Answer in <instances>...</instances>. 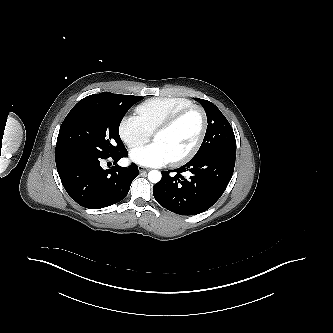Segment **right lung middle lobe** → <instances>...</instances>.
I'll list each match as a JSON object with an SVG mask.
<instances>
[{
	"instance_id": "1",
	"label": "right lung middle lobe",
	"mask_w": 333,
	"mask_h": 333,
	"mask_svg": "<svg viewBox=\"0 0 333 333\" xmlns=\"http://www.w3.org/2000/svg\"><path fill=\"white\" fill-rule=\"evenodd\" d=\"M142 96L103 92L80 100L64 119L56 147L84 148L104 156L125 149L119 125L128 109Z\"/></svg>"
}]
</instances>
